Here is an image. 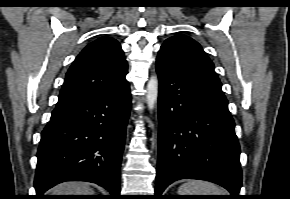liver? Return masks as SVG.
<instances>
[{
    "instance_id": "1",
    "label": "liver",
    "mask_w": 290,
    "mask_h": 199,
    "mask_svg": "<svg viewBox=\"0 0 290 199\" xmlns=\"http://www.w3.org/2000/svg\"><path fill=\"white\" fill-rule=\"evenodd\" d=\"M51 193L53 195H93L94 191L86 183L65 182L55 186Z\"/></svg>"
}]
</instances>
